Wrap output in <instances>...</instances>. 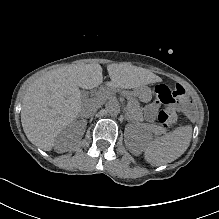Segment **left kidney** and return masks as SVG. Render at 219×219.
Listing matches in <instances>:
<instances>
[{"label": "left kidney", "mask_w": 219, "mask_h": 219, "mask_svg": "<svg viewBox=\"0 0 219 219\" xmlns=\"http://www.w3.org/2000/svg\"><path fill=\"white\" fill-rule=\"evenodd\" d=\"M137 141H140V145H144L146 142L149 141V136L144 134L143 132L136 133Z\"/></svg>", "instance_id": "5707ae66"}]
</instances>
